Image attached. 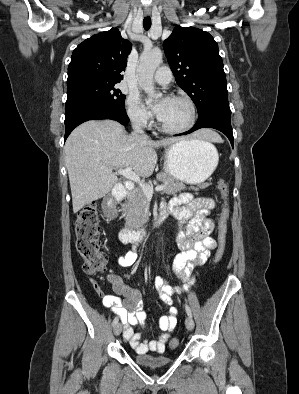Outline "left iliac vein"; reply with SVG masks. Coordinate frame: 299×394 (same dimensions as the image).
I'll use <instances>...</instances> for the list:
<instances>
[{
	"instance_id": "left-iliac-vein-1",
	"label": "left iliac vein",
	"mask_w": 299,
	"mask_h": 394,
	"mask_svg": "<svg viewBox=\"0 0 299 394\" xmlns=\"http://www.w3.org/2000/svg\"><path fill=\"white\" fill-rule=\"evenodd\" d=\"M185 325H186L188 330H190V331L193 330V328H194V321H193L192 317L188 316L185 319Z\"/></svg>"
}]
</instances>
